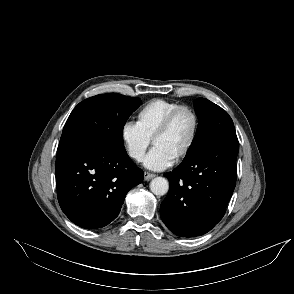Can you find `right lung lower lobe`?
I'll use <instances>...</instances> for the list:
<instances>
[{
  "instance_id": "right-lung-lower-lobe-1",
  "label": "right lung lower lobe",
  "mask_w": 294,
  "mask_h": 294,
  "mask_svg": "<svg viewBox=\"0 0 294 294\" xmlns=\"http://www.w3.org/2000/svg\"><path fill=\"white\" fill-rule=\"evenodd\" d=\"M55 171L62 211L86 229L112 222L127 192L144 176L119 144L72 147L57 155Z\"/></svg>"
}]
</instances>
